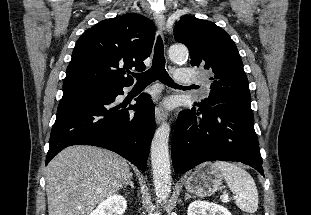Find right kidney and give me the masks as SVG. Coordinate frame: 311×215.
I'll return each mask as SVG.
<instances>
[{
    "instance_id": "right-kidney-1",
    "label": "right kidney",
    "mask_w": 311,
    "mask_h": 215,
    "mask_svg": "<svg viewBox=\"0 0 311 215\" xmlns=\"http://www.w3.org/2000/svg\"><path fill=\"white\" fill-rule=\"evenodd\" d=\"M127 208L126 199L118 194L103 200L90 215H122Z\"/></svg>"
}]
</instances>
